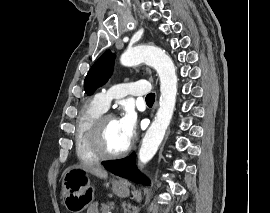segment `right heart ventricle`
<instances>
[{"label":"right heart ventricle","mask_w":270,"mask_h":213,"mask_svg":"<svg viewBox=\"0 0 270 213\" xmlns=\"http://www.w3.org/2000/svg\"><path fill=\"white\" fill-rule=\"evenodd\" d=\"M104 111L94 98L84 106L77 118L75 150L78 159L82 162L97 163L100 160L90 148L88 135L94 120Z\"/></svg>","instance_id":"e07e8e85"}]
</instances>
